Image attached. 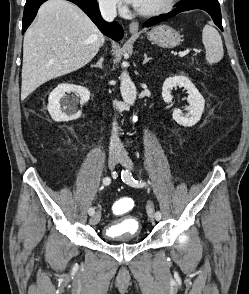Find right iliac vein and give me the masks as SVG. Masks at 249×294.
Here are the masks:
<instances>
[{"label":"right iliac vein","instance_id":"right-iliac-vein-1","mask_svg":"<svg viewBox=\"0 0 249 294\" xmlns=\"http://www.w3.org/2000/svg\"><path fill=\"white\" fill-rule=\"evenodd\" d=\"M118 158H119V153L116 149H112L109 152L108 155V166L111 170H113L118 162ZM101 219V213L100 211H96L93 216L90 218V224L92 226H95L96 224L99 223Z\"/></svg>","mask_w":249,"mask_h":294}]
</instances>
